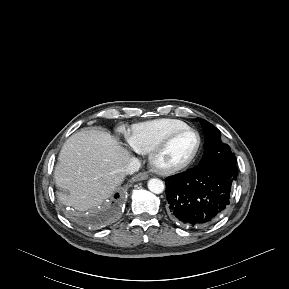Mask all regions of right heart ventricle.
<instances>
[{
	"label": "right heart ventricle",
	"mask_w": 289,
	"mask_h": 289,
	"mask_svg": "<svg viewBox=\"0 0 289 289\" xmlns=\"http://www.w3.org/2000/svg\"><path fill=\"white\" fill-rule=\"evenodd\" d=\"M189 127L177 119H157L137 124L129 137L131 146L138 152H150L171 132Z\"/></svg>",
	"instance_id": "obj_1"
}]
</instances>
